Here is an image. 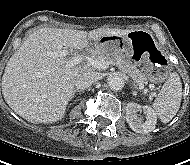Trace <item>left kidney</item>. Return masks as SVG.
I'll list each match as a JSON object with an SVG mask.
<instances>
[{
	"instance_id": "1",
	"label": "left kidney",
	"mask_w": 190,
	"mask_h": 165,
	"mask_svg": "<svg viewBox=\"0 0 190 165\" xmlns=\"http://www.w3.org/2000/svg\"><path fill=\"white\" fill-rule=\"evenodd\" d=\"M143 110L146 120L143 121L136 113ZM126 121L130 128L137 133H149L155 129L157 116L153 109L148 106L141 108L140 105L135 103H128L126 105Z\"/></svg>"
}]
</instances>
